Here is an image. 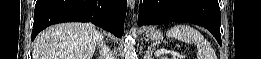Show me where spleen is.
Wrapping results in <instances>:
<instances>
[{"mask_svg":"<svg viewBox=\"0 0 261 59\" xmlns=\"http://www.w3.org/2000/svg\"><path fill=\"white\" fill-rule=\"evenodd\" d=\"M168 38L195 44L197 46V57L199 59H215V54L209 42L195 28L187 24L173 26L166 33Z\"/></svg>","mask_w":261,"mask_h":59,"instance_id":"3e777b00","label":"spleen"}]
</instances>
